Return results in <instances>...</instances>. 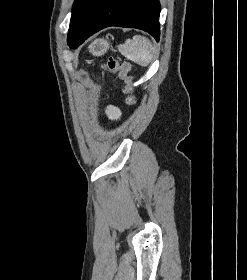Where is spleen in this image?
Masks as SVG:
<instances>
[{"mask_svg": "<svg viewBox=\"0 0 247 280\" xmlns=\"http://www.w3.org/2000/svg\"><path fill=\"white\" fill-rule=\"evenodd\" d=\"M119 52L130 61L147 67L153 58L154 47L151 41L141 35L126 40L124 45L118 46Z\"/></svg>", "mask_w": 247, "mask_h": 280, "instance_id": "1", "label": "spleen"}]
</instances>
